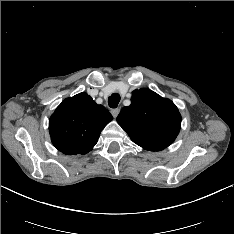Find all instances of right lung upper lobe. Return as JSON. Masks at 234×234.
<instances>
[{
    "label": "right lung upper lobe",
    "mask_w": 234,
    "mask_h": 234,
    "mask_svg": "<svg viewBox=\"0 0 234 234\" xmlns=\"http://www.w3.org/2000/svg\"><path fill=\"white\" fill-rule=\"evenodd\" d=\"M112 119L104 106L96 104L87 93H79L63 100L50 117L51 141L66 155H84Z\"/></svg>",
    "instance_id": "obj_1"
}]
</instances>
